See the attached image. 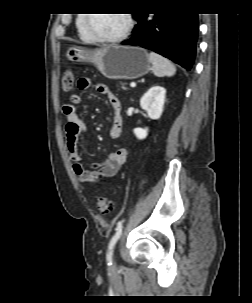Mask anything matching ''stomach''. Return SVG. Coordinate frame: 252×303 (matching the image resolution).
Wrapping results in <instances>:
<instances>
[{"label":"stomach","mask_w":252,"mask_h":303,"mask_svg":"<svg viewBox=\"0 0 252 303\" xmlns=\"http://www.w3.org/2000/svg\"><path fill=\"white\" fill-rule=\"evenodd\" d=\"M66 56L71 62L93 63L102 75L113 80H133L151 69L147 52L136 46L110 45L95 50L72 46Z\"/></svg>","instance_id":"1"}]
</instances>
